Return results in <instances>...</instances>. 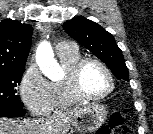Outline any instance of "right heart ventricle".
<instances>
[{
	"instance_id": "e07e8e85",
	"label": "right heart ventricle",
	"mask_w": 153,
	"mask_h": 134,
	"mask_svg": "<svg viewBox=\"0 0 153 134\" xmlns=\"http://www.w3.org/2000/svg\"><path fill=\"white\" fill-rule=\"evenodd\" d=\"M58 57L65 70V76L60 80L50 83L52 100L51 110L68 108L78 102L69 94L65 79L69 69L80 59V54L75 50L70 53L58 55Z\"/></svg>"
}]
</instances>
